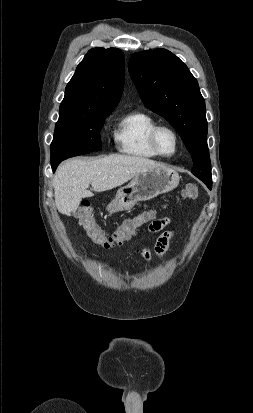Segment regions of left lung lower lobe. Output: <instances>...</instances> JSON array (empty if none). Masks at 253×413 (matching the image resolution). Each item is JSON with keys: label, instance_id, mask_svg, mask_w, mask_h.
Segmentation results:
<instances>
[{"label": "left lung lower lobe", "instance_id": "0a47b994", "mask_svg": "<svg viewBox=\"0 0 253 413\" xmlns=\"http://www.w3.org/2000/svg\"><path fill=\"white\" fill-rule=\"evenodd\" d=\"M209 189H212V180H202Z\"/></svg>", "mask_w": 253, "mask_h": 413}]
</instances>
